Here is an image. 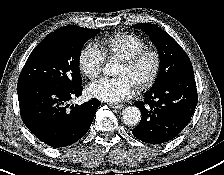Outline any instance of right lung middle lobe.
<instances>
[{
    "mask_svg": "<svg viewBox=\"0 0 224 175\" xmlns=\"http://www.w3.org/2000/svg\"><path fill=\"white\" fill-rule=\"evenodd\" d=\"M99 31L69 26L51 32L29 55L18 83L38 81L65 88L81 85L79 71L81 49L85 42Z\"/></svg>",
    "mask_w": 224,
    "mask_h": 175,
    "instance_id": "right-lung-middle-lobe-1",
    "label": "right lung middle lobe"
}]
</instances>
